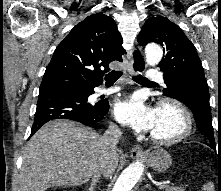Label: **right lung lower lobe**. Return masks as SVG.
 <instances>
[{
	"label": "right lung lower lobe",
	"mask_w": 221,
	"mask_h": 191,
	"mask_svg": "<svg viewBox=\"0 0 221 191\" xmlns=\"http://www.w3.org/2000/svg\"><path fill=\"white\" fill-rule=\"evenodd\" d=\"M93 89L56 87L39 91L37 109L30 137L45 123L54 119H69L93 126L109 110L107 101L87 103Z\"/></svg>",
	"instance_id": "right-lung-lower-lobe-1"
}]
</instances>
